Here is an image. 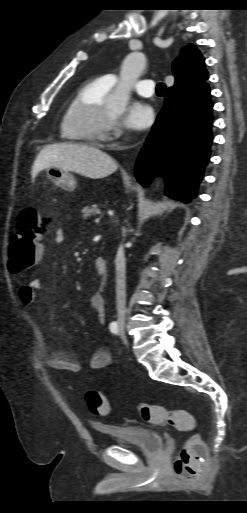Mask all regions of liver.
I'll list each match as a JSON object with an SVG mask.
<instances>
[{
	"mask_svg": "<svg viewBox=\"0 0 247 513\" xmlns=\"http://www.w3.org/2000/svg\"><path fill=\"white\" fill-rule=\"evenodd\" d=\"M57 167L91 179L109 176L117 169L116 162L106 153L83 144H52L44 147L32 166V181L44 168Z\"/></svg>",
	"mask_w": 247,
	"mask_h": 513,
	"instance_id": "obj_1",
	"label": "liver"
}]
</instances>
